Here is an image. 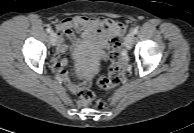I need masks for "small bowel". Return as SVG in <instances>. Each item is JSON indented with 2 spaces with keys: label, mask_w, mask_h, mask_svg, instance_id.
Returning a JSON list of instances; mask_svg holds the SVG:
<instances>
[{
  "label": "small bowel",
  "mask_w": 194,
  "mask_h": 133,
  "mask_svg": "<svg viewBox=\"0 0 194 133\" xmlns=\"http://www.w3.org/2000/svg\"><path fill=\"white\" fill-rule=\"evenodd\" d=\"M56 27L59 40L51 66L72 93H78L81 86L73 82L64 69L67 59L61 56L68 50L65 38L71 40L75 45L91 41L102 49H108L112 39L122 36L126 31L122 23L113 19L86 16L65 18L58 22Z\"/></svg>",
  "instance_id": "small-bowel-1"
}]
</instances>
